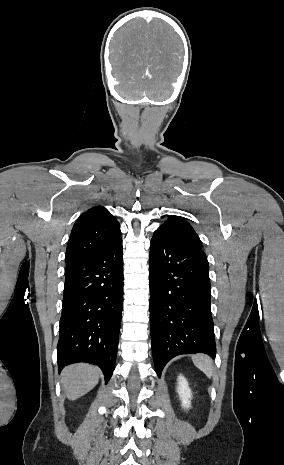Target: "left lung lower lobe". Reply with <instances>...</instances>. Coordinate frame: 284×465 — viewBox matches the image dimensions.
<instances>
[{
	"label": "left lung lower lobe",
	"instance_id": "0a47b994",
	"mask_svg": "<svg viewBox=\"0 0 284 465\" xmlns=\"http://www.w3.org/2000/svg\"><path fill=\"white\" fill-rule=\"evenodd\" d=\"M209 265L203 249L156 230L150 244V328L155 371L180 354L215 358Z\"/></svg>",
	"mask_w": 284,
	"mask_h": 465
}]
</instances>
